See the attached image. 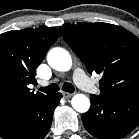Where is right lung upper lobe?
Segmentation results:
<instances>
[{
  "instance_id": "cb5924a9",
  "label": "right lung upper lobe",
  "mask_w": 139,
  "mask_h": 139,
  "mask_svg": "<svg viewBox=\"0 0 139 139\" xmlns=\"http://www.w3.org/2000/svg\"><path fill=\"white\" fill-rule=\"evenodd\" d=\"M61 36L56 28H27L0 34V118L31 107L47 96L31 92L36 68Z\"/></svg>"
}]
</instances>
